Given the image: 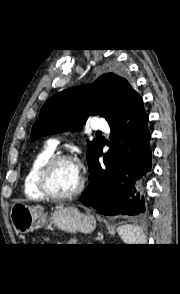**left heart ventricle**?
<instances>
[{"instance_id":"obj_1","label":"left heart ventricle","mask_w":180,"mask_h":294,"mask_svg":"<svg viewBox=\"0 0 180 294\" xmlns=\"http://www.w3.org/2000/svg\"><path fill=\"white\" fill-rule=\"evenodd\" d=\"M80 182V173L72 162L59 163L52 170L49 179V188L57 194H65L77 188Z\"/></svg>"}]
</instances>
